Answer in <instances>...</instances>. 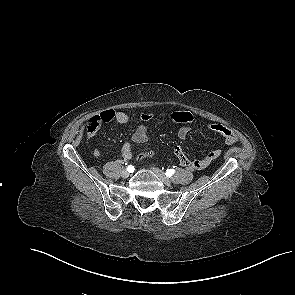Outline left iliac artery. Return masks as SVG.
I'll return each instance as SVG.
<instances>
[{
  "instance_id": "obj_1",
  "label": "left iliac artery",
  "mask_w": 295,
  "mask_h": 295,
  "mask_svg": "<svg viewBox=\"0 0 295 295\" xmlns=\"http://www.w3.org/2000/svg\"><path fill=\"white\" fill-rule=\"evenodd\" d=\"M174 173H175V170L174 169H168L166 171V176L167 177H171Z\"/></svg>"
}]
</instances>
